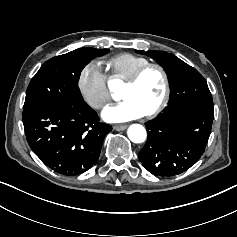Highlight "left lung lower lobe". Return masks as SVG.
<instances>
[{
  "label": "left lung lower lobe",
  "mask_w": 237,
  "mask_h": 237,
  "mask_svg": "<svg viewBox=\"0 0 237 237\" xmlns=\"http://www.w3.org/2000/svg\"><path fill=\"white\" fill-rule=\"evenodd\" d=\"M173 121L183 120H202L208 127H212L214 119L213 106H194L172 110L165 115ZM197 160H179L177 163L182 164L190 168ZM148 170V167L144 165ZM150 172V171H149ZM154 175V174H153Z\"/></svg>",
  "instance_id": "0a47b994"
}]
</instances>
